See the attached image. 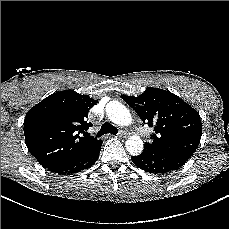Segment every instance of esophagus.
I'll return each instance as SVG.
<instances>
[{
	"label": "esophagus",
	"mask_w": 229,
	"mask_h": 229,
	"mask_svg": "<svg viewBox=\"0 0 229 229\" xmlns=\"http://www.w3.org/2000/svg\"><path fill=\"white\" fill-rule=\"evenodd\" d=\"M128 135L127 131L125 130H118L117 136L119 137H126Z\"/></svg>",
	"instance_id": "34e87169"
}]
</instances>
